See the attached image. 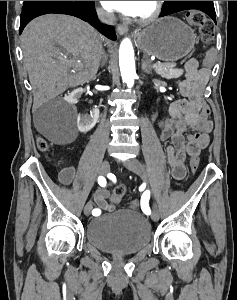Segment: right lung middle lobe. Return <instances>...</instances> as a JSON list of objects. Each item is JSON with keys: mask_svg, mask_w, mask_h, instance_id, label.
Masks as SVG:
<instances>
[{"mask_svg": "<svg viewBox=\"0 0 237 300\" xmlns=\"http://www.w3.org/2000/svg\"><path fill=\"white\" fill-rule=\"evenodd\" d=\"M39 2H41V1H24L23 8H27L31 5H34V4L39 3Z\"/></svg>", "mask_w": 237, "mask_h": 300, "instance_id": "dd1d6c3e", "label": "right lung middle lobe"}]
</instances>
